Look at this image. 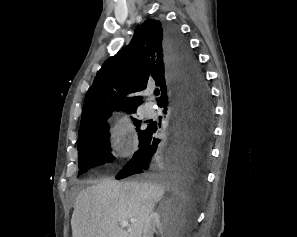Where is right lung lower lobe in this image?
I'll use <instances>...</instances> for the list:
<instances>
[{
    "instance_id": "right-lung-lower-lobe-1",
    "label": "right lung lower lobe",
    "mask_w": 297,
    "mask_h": 237,
    "mask_svg": "<svg viewBox=\"0 0 297 237\" xmlns=\"http://www.w3.org/2000/svg\"><path fill=\"white\" fill-rule=\"evenodd\" d=\"M164 36L172 80L169 94L159 103L169 114L165 137H157L160 124H150L139 150L116 175L118 180L139 173L163 176L206 172L213 115L209 91L178 28L165 24Z\"/></svg>"
}]
</instances>
